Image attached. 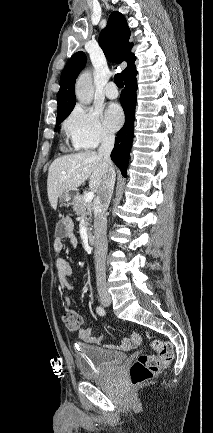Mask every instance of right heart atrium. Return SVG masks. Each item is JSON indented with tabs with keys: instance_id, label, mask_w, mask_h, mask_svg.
Here are the masks:
<instances>
[{
	"instance_id": "right-heart-atrium-1",
	"label": "right heart atrium",
	"mask_w": 213,
	"mask_h": 433,
	"mask_svg": "<svg viewBox=\"0 0 213 433\" xmlns=\"http://www.w3.org/2000/svg\"><path fill=\"white\" fill-rule=\"evenodd\" d=\"M64 130L76 149H94L113 140L98 111L76 106L64 122Z\"/></svg>"
}]
</instances>
